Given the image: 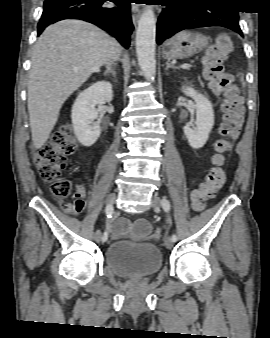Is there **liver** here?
Returning a JSON list of instances; mask_svg holds the SVG:
<instances>
[{"label": "liver", "instance_id": "liver-1", "mask_svg": "<svg viewBox=\"0 0 270 338\" xmlns=\"http://www.w3.org/2000/svg\"><path fill=\"white\" fill-rule=\"evenodd\" d=\"M120 52L115 39L85 21L63 20L44 30L33 48L28 82V112L36 149L47 142L68 97Z\"/></svg>", "mask_w": 270, "mask_h": 338}]
</instances>
